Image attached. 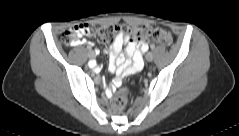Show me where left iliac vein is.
Returning a JSON list of instances; mask_svg holds the SVG:
<instances>
[{"label":"left iliac vein","mask_w":239,"mask_h":136,"mask_svg":"<svg viewBox=\"0 0 239 136\" xmlns=\"http://www.w3.org/2000/svg\"><path fill=\"white\" fill-rule=\"evenodd\" d=\"M145 59L147 61H152L153 60V54L151 52H148L146 55H145Z\"/></svg>","instance_id":"obj_1"}]
</instances>
